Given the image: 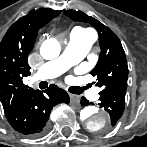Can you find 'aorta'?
I'll use <instances>...</instances> for the list:
<instances>
[{
	"label": "aorta",
	"mask_w": 147,
	"mask_h": 147,
	"mask_svg": "<svg viewBox=\"0 0 147 147\" xmlns=\"http://www.w3.org/2000/svg\"><path fill=\"white\" fill-rule=\"evenodd\" d=\"M61 47L55 38H47L40 47V54L44 59L52 60L59 56ZM80 119L92 132H99L108 128L110 117L104 110L94 106H85L80 111Z\"/></svg>",
	"instance_id": "aorta-1"
}]
</instances>
